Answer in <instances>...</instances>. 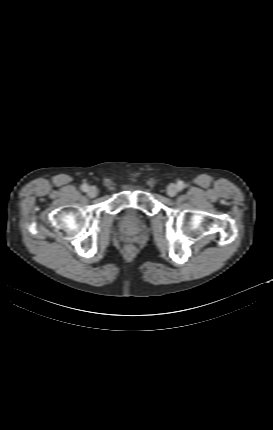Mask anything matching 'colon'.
<instances>
[{
	"label": "colon",
	"instance_id": "obj_1",
	"mask_svg": "<svg viewBox=\"0 0 273 430\" xmlns=\"http://www.w3.org/2000/svg\"><path fill=\"white\" fill-rule=\"evenodd\" d=\"M125 252H126L127 254H132V253L134 252V247H133L132 245H127V246L125 247Z\"/></svg>",
	"mask_w": 273,
	"mask_h": 430
}]
</instances>
